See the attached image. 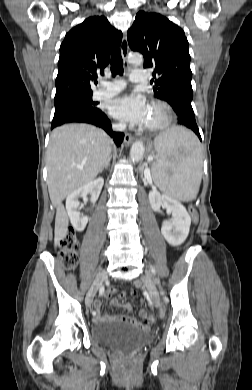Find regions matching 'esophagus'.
Instances as JSON below:
<instances>
[{"label": "esophagus", "mask_w": 252, "mask_h": 390, "mask_svg": "<svg viewBox=\"0 0 252 390\" xmlns=\"http://www.w3.org/2000/svg\"><path fill=\"white\" fill-rule=\"evenodd\" d=\"M120 49H121V53H122V57H123L124 63L127 64L128 63L127 62V57H128L129 46H128V41H127L126 34L123 36ZM133 140H134V138L130 134H125V137H124L125 145H127V146L130 145L133 142Z\"/></svg>", "instance_id": "esophagus-1"}]
</instances>
